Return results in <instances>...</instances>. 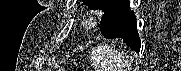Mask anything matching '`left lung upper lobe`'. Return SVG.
Wrapping results in <instances>:
<instances>
[{"mask_svg":"<svg viewBox=\"0 0 181 71\" xmlns=\"http://www.w3.org/2000/svg\"><path fill=\"white\" fill-rule=\"evenodd\" d=\"M117 1L118 0H83V3L91 9H99L106 13Z\"/></svg>","mask_w":181,"mask_h":71,"instance_id":"5c2ea615","label":"left lung upper lobe"}]
</instances>
